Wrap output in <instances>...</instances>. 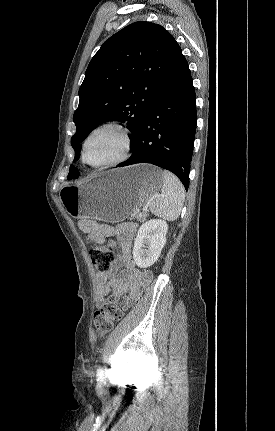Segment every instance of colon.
Wrapping results in <instances>:
<instances>
[{
	"mask_svg": "<svg viewBox=\"0 0 275 431\" xmlns=\"http://www.w3.org/2000/svg\"><path fill=\"white\" fill-rule=\"evenodd\" d=\"M89 254L93 265L99 272L108 271L115 259L111 246H94L90 249ZM123 315L124 307L117 302L115 297L110 296L107 303L94 314V330L101 336L109 333L115 322L121 320Z\"/></svg>",
	"mask_w": 275,
	"mask_h": 431,
	"instance_id": "5ec220e1",
	"label": "colon"
}]
</instances>
